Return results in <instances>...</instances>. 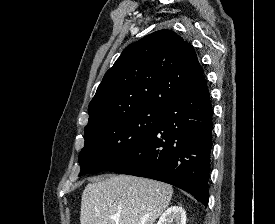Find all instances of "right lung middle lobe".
Segmentation results:
<instances>
[{
	"label": "right lung middle lobe",
	"mask_w": 275,
	"mask_h": 224,
	"mask_svg": "<svg viewBox=\"0 0 275 224\" xmlns=\"http://www.w3.org/2000/svg\"><path fill=\"white\" fill-rule=\"evenodd\" d=\"M165 109L142 108L103 120L84 130L79 176L109 169L147 138Z\"/></svg>",
	"instance_id": "right-lung-middle-lobe-1"
}]
</instances>
